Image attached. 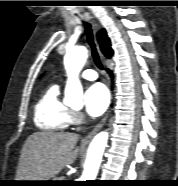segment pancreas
I'll return each instance as SVG.
<instances>
[{"label": "pancreas", "instance_id": "1", "mask_svg": "<svg viewBox=\"0 0 178 186\" xmlns=\"http://www.w3.org/2000/svg\"><path fill=\"white\" fill-rule=\"evenodd\" d=\"M57 180L61 181L62 179L61 178H57Z\"/></svg>", "mask_w": 178, "mask_h": 186}]
</instances>
